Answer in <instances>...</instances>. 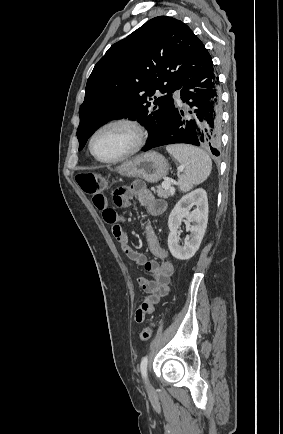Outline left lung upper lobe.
Segmentation results:
<instances>
[{
    "mask_svg": "<svg viewBox=\"0 0 283 434\" xmlns=\"http://www.w3.org/2000/svg\"><path fill=\"white\" fill-rule=\"evenodd\" d=\"M211 63L204 44L182 21L149 20L95 65L79 110V150L101 125L123 117L138 118L148 130V145L154 143L174 111L171 93ZM156 90L168 94L157 98Z\"/></svg>",
    "mask_w": 283,
    "mask_h": 434,
    "instance_id": "obj_1",
    "label": "left lung upper lobe"
}]
</instances>
